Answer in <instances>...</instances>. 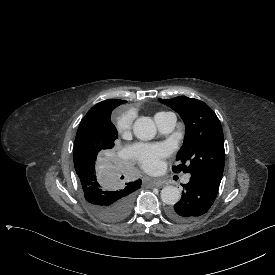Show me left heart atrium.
Instances as JSON below:
<instances>
[{
  "label": "left heart atrium",
  "mask_w": 275,
  "mask_h": 275,
  "mask_svg": "<svg viewBox=\"0 0 275 275\" xmlns=\"http://www.w3.org/2000/svg\"><path fill=\"white\" fill-rule=\"evenodd\" d=\"M132 160L147 171H154L160 165L161 158L168 154L165 144H138L128 149Z\"/></svg>",
  "instance_id": "1"
}]
</instances>
